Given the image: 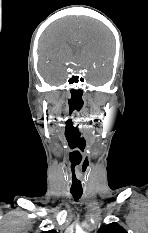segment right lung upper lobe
Listing matches in <instances>:
<instances>
[{
  "label": "right lung upper lobe",
  "instance_id": "cb5924a9",
  "mask_svg": "<svg viewBox=\"0 0 148 233\" xmlns=\"http://www.w3.org/2000/svg\"><path fill=\"white\" fill-rule=\"evenodd\" d=\"M44 233H57L55 230L46 231Z\"/></svg>",
  "mask_w": 148,
  "mask_h": 233
}]
</instances>
